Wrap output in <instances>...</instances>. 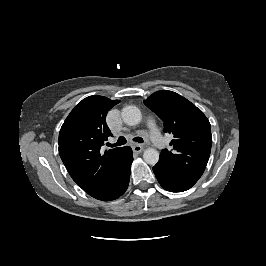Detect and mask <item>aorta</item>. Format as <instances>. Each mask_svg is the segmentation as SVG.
I'll return each instance as SVG.
<instances>
[{
	"instance_id": "aorta-1",
	"label": "aorta",
	"mask_w": 266,
	"mask_h": 266,
	"mask_svg": "<svg viewBox=\"0 0 266 266\" xmlns=\"http://www.w3.org/2000/svg\"><path fill=\"white\" fill-rule=\"evenodd\" d=\"M121 116L128 125H137L142 119L141 111L133 105L124 107ZM143 159L147 164L155 165L159 161V152L156 149L148 148L143 153Z\"/></svg>"
}]
</instances>
